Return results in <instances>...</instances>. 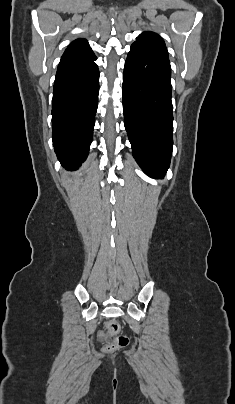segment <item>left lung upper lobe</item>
I'll list each match as a JSON object with an SVG mask.
<instances>
[{"mask_svg":"<svg viewBox=\"0 0 235 404\" xmlns=\"http://www.w3.org/2000/svg\"><path fill=\"white\" fill-rule=\"evenodd\" d=\"M132 45L142 46L168 56L163 39L154 32H143Z\"/></svg>","mask_w":235,"mask_h":404,"instance_id":"left-lung-upper-lobe-1","label":"left lung upper lobe"}]
</instances>
